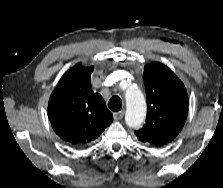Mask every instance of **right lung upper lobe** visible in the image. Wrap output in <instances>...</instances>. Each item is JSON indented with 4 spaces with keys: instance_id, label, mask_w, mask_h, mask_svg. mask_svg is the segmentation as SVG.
I'll return each mask as SVG.
<instances>
[{
    "instance_id": "cb5924a9",
    "label": "right lung upper lobe",
    "mask_w": 223,
    "mask_h": 188,
    "mask_svg": "<svg viewBox=\"0 0 223 188\" xmlns=\"http://www.w3.org/2000/svg\"><path fill=\"white\" fill-rule=\"evenodd\" d=\"M93 69L77 63L65 72L48 103L54 131L78 148L91 144L113 121L101 95L91 90Z\"/></svg>"
}]
</instances>
